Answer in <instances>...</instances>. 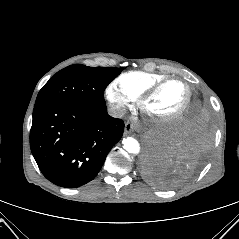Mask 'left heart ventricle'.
<instances>
[{
    "label": "left heart ventricle",
    "instance_id": "obj_1",
    "mask_svg": "<svg viewBox=\"0 0 239 239\" xmlns=\"http://www.w3.org/2000/svg\"><path fill=\"white\" fill-rule=\"evenodd\" d=\"M186 96V87L180 82H172L147 103L146 109L154 115H169L182 106Z\"/></svg>",
    "mask_w": 239,
    "mask_h": 239
}]
</instances>
